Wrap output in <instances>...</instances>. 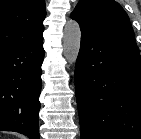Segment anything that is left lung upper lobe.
<instances>
[{"instance_id": "left-lung-upper-lobe-1", "label": "left lung upper lobe", "mask_w": 141, "mask_h": 139, "mask_svg": "<svg viewBox=\"0 0 141 139\" xmlns=\"http://www.w3.org/2000/svg\"><path fill=\"white\" fill-rule=\"evenodd\" d=\"M71 17L78 21L81 31L136 45L128 15L114 0H80Z\"/></svg>"}]
</instances>
